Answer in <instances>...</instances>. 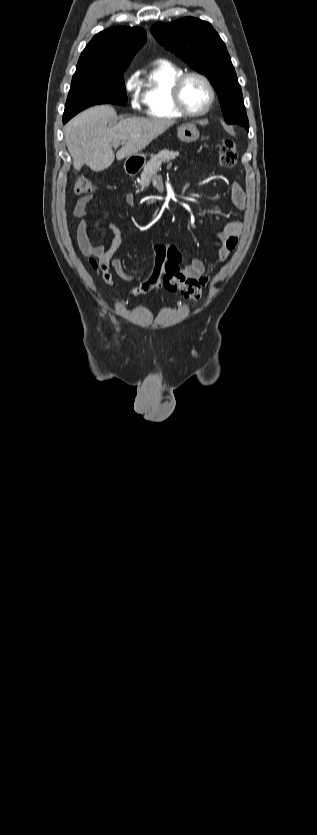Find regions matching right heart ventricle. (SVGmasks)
I'll return each mask as SVG.
<instances>
[{
	"label": "right heart ventricle",
	"instance_id": "1",
	"mask_svg": "<svg viewBox=\"0 0 317 835\" xmlns=\"http://www.w3.org/2000/svg\"><path fill=\"white\" fill-rule=\"evenodd\" d=\"M184 71L167 60H158L142 81V103L149 117L156 119H175L183 116L175 107L172 87L175 80Z\"/></svg>",
	"mask_w": 317,
	"mask_h": 835
}]
</instances>
